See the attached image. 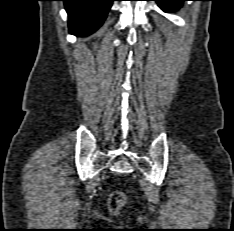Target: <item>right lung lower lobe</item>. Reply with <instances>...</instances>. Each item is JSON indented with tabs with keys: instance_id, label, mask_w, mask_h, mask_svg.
Segmentation results:
<instances>
[{
	"instance_id": "1",
	"label": "right lung lower lobe",
	"mask_w": 234,
	"mask_h": 231,
	"mask_svg": "<svg viewBox=\"0 0 234 231\" xmlns=\"http://www.w3.org/2000/svg\"><path fill=\"white\" fill-rule=\"evenodd\" d=\"M69 17V32L88 35L100 27L114 0H62Z\"/></svg>"
}]
</instances>
